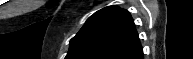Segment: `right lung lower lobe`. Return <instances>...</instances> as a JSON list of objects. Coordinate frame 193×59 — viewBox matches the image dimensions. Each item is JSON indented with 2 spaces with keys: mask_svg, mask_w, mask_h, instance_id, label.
Masks as SVG:
<instances>
[{
  "mask_svg": "<svg viewBox=\"0 0 193 59\" xmlns=\"http://www.w3.org/2000/svg\"><path fill=\"white\" fill-rule=\"evenodd\" d=\"M128 59H143V50H139L138 52L128 57Z\"/></svg>",
  "mask_w": 193,
  "mask_h": 59,
  "instance_id": "obj_1",
  "label": "right lung lower lobe"
}]
</instances>
